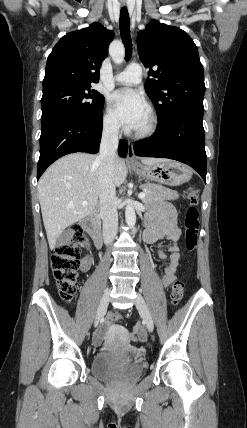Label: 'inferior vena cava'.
Listing matches in <instances>:
<instances>
[{"label":"inferior vena cava","instance_id":"inferior-vena-cava-1","mask_svg":"<svg viewBox=\"0 0 247 428\" xmlns=\"http://www.w3.org/2000/svg\"><path fill=\"white\" fill-rule=\"evenodd\" d=\"M119 125L111 123L104 127L100 152L96 158L99 164L100 216L103 221V239L110 244L117 235L118 213L114 182V160L118 149Z\"/></svg>","mask_w":247,"mask_h":428}]
</instances>
